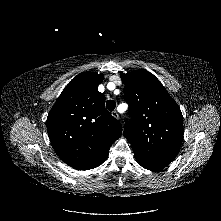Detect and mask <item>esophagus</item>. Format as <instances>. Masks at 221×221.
I'll use <instances>...</instances> for the list:
<instances>
[{
    "instance_id": "esophagus-1",
    "label": "esophagus",
    "mask_w": 221,
    "mask_h": 221,
    "mask_svg": "<svg viewBox=\"0 0 221 221\" xmlns=\"http://www.w3.org/2000/svg\"><path fill=\"white\" fill-rule=\"evenodd\" d=\"M111 114H112L113 117H115L117 119L119 118V115H118L117 111H112Z\"/></svg>"
}]
</instances>
